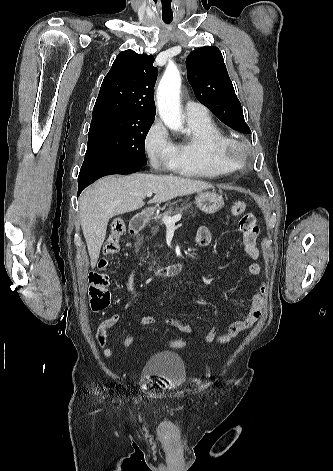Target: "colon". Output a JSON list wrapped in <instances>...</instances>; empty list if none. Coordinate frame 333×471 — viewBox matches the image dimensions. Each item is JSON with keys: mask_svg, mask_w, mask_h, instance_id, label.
I'll use <instances>...</instances> for the list:
<instances>
[{"mask_svg": "<svg viewBox=\"0 0 333 471\" xmlns=\"http://www.w3.org/2000/svg\"><path fill=\"white\" fill-rule=\"evenodd\" d=\"M246 204L244 201H237L230 207V213L233 216H239L244 213ZM125 231V222L122 218H115L111 223L110 235L103 246V258L99 262V269L90 273L89 281V301L93 311H102L110 305V292L108 286L109 276L104 272L108 266L109 259L119 250L120 237ZM135 338L127 336L123 340V346L130 348L133 346ZM168 345L174 349H184L187 343L182 339H174L168 342Z\"/></svg>", "mask_w": 333, "mask_h": 471, "instance_id": "colon-1", "label": "colon"}]
</instances>
